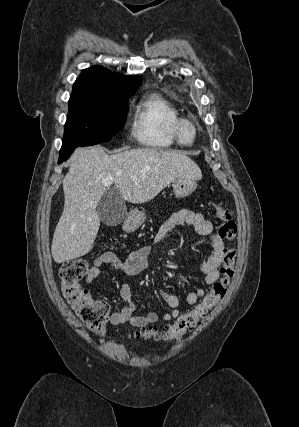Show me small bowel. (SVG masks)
Returning <instances> with one entry per match:
<instances>
[{
	"label": "small bowel",
	"instance_id": "small-bowel-1",
	"mask_svg": "<svg viewBox=\"0 0 299 427\" xmlns=\"http://www.w3.org/2000/svg\"><path fill=\"white\" fill-rule=\"evenodd\" d=\"M191 225L199 235L207 236L211 243V251L202 265V272L204 274L205 284L207 286L213 285L220 275V266L223 262L225 255V247L220 236L214 231L213 224L205 218L201 212H196L190 209H182L169 218H167L159 227L155 237L154 244L161 243L168 234H170L176 227L180 225ZM152 254V246L146 245L133 249L128 257L121 260L116 254L112 252H105L95 258L93 266L89 269L86 275V282L92 283L101 274L105 273L109 266V271L122 270L129 276L138 275L150 267V258ZM162 299L171 308L170 312L162 314L161 320L169 322L180 315L179 298L166 291L160 293ZM205 295L203 288H197L190 292L186 301L189 305L198 302ZM120 297L124 302L121 311L112 312L109 316V321L113 325L130 323L136 328H145L148 325L158 321L159 316L154 313H148L145 316H136L135 304L132 299L131 285L123 283L120 288Z\"/></svg>",
	"mask_w": 299,
	"mask_h": 427
}]
</instances>
